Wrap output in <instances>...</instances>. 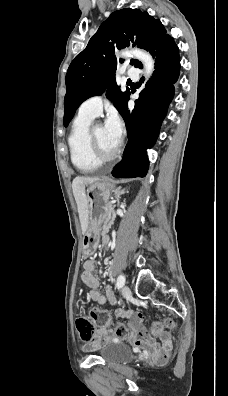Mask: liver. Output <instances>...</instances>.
Instances as JSON below:
<instances>
[{
	"label": "liver",
	"mask_w": 228,
	"mask_h": 396,
	"mask_svg": "<svg viewBox=\"0 0 228 396\" xmlns=\"http://www.w3.org/2000/svg\"><path fill=\"white\" fill-rule=\"evenodd\" d=\"M95 181H97V178L76 177L72 182V190L77 203V209L83 234L86 232L88 227V208L85 186Z\"/></svg>",
	"instance_id": "obj_1"
}]
</instances>
